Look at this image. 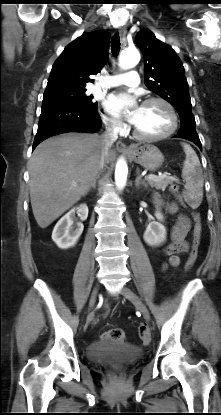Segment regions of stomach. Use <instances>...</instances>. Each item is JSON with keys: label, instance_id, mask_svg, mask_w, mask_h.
Returning a JSON list of instances; mask_svg holds the SVG:
<instances>
[{"label": "stomach", "instance_id": "obj_1", "mask_svg": "<svg viewBox=\"0 0 221 415\" xmlns=\"http://www.w3.org/2000/svg\"><path fill=\"white\" fill-rule=\"evenodd\" d=\"M128 156L135 163L150 171L157 170L164 162L163 154L152 144L135 146L132 151L128 153Z\"/></svg>", "mask_w": 221, "mask_h": 415}]
</instances>
